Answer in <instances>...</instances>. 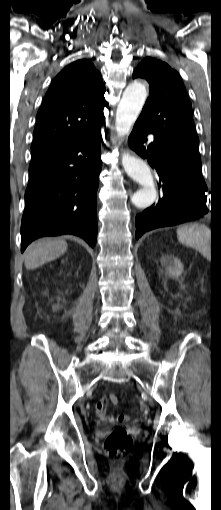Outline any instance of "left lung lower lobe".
Instances as JSON below:
<instances>
[{
    "instance_id": "1",
    "label": "left lung lower lobe",
    "mask_w": 221,
    "mask_h": 510,
    "mask_svg": "<svg viewBox=\"0 0 221 510\" xmlns=\"http://www.w3.org/2000/svg\"><path fill=\"white\" fill-rule=\"evenodd\" d=\"M154 134L143 121L137 120L128 144L147 160L159 176L161 198L136 216V238L159 227L196 220L208 213L207 186L201 174V160L161 140L154 134L148 144L146 136Z\"/></svg>"
}]
</instances>
